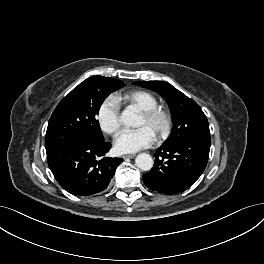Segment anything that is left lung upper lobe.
Returning <instances> with one entry per match:
<instances>
[{
	"label": "left lung upper lobe",
	"mask_w": 264,
	"mask_h": 264,
	"mask_svg": "<svg viewBox=\"0 0 264 264\" xmlns=\"http://www.w3.org/2000/svg\"><path fill=\"white\" fill-rule=\"evenodd\" d=\"M133 84L157 92L168 103L173 128L164 144L177 143L198 136H210L208 120L201 108L171 84L162 81H136Z\"/></svg>",
	"instance_id": "5c2ea615"
}]
</instances>
